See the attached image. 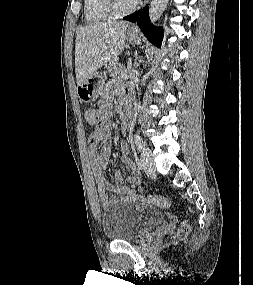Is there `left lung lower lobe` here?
Instances as JSON below:
<instances>
[{"instance_id": "obj_1", "label": "left lung lower lobe", "mask_w": 253, "mask_h": 285, "mask_svg": "<svg viewBox=\"0 0 253 285\" xmlns=\"http://www.w3.org/2000/svg\"><path fill=\"white\" fill-rule=\"evenodd\" d=\"M148 5L145 6L141 11H137L133 14H130L123 19L130 22H136L145 36L150 42L154 45L160 47L163 39V30L159 27H154L149 19Z\"/></svg>"}]
</instances>
